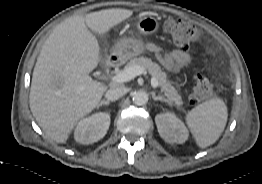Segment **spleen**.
Segmentation results:
<instances>
[{
    "label": "spleen",
    "instance_id": "1",
    "mask_svg": "<svg viewBox=\"0 0 262 184\" xmlns=\"http://www.w3.org/2000/svg\"><path fill=\"white\" fill-rule=\"evenodd\" d=\"M227 107L220 98H212L193 108L186 115V121L200 148L215 143L227 122Z\"/></svg>",
    "mask_w": 262,
    "mask_h": 184
}]
</instances>
